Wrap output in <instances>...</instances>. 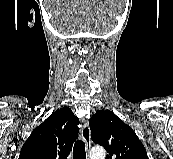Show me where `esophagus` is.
Here are the masks:
<instances>
[{
    "instance_id": "esophagus-1",
    "label": "esophagus",
    "mask_w": 173,
    "mask_h": 159,
    "mask_svg": "<svg viewBox=\"0 0 173 159\" xmlns=\"http://www.w3.org/2000/svg\"><path fill=\"white\" fill-rule=\"evenodd\" d=\"M81 139L85 143L87 150L91 147V133L87 121H84V124L81 128Z\"/></svg>"
}]
</instances>
